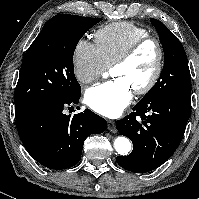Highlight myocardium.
<instances>
[{
    "mask_svg": "<svg viewBox=\"0 0 199 199\" xmlns=\"http://www.w3.org/2000/svg\"><path fill=\"white\" fill-rule=\"evenodd\" d=\"M147 44L154 45L157 52V60L154 71L149 80L143 86L133 89V92L137 95L149 93L157 84L162 75L164 66V50L161 42L156 37L149 35L138 39L133 42L111 65V69H113L115 67L127 64L136 55V53Z\"/></svg>",
    "mask_w": 199,
    "mask_h": 199,
    "instance_id": "1",
    "label": "myocardium"
}]
</instances>
